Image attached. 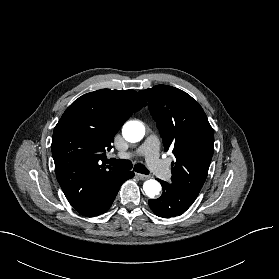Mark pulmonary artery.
<instances>
[{"instance_id":"e3ab8cb5","label":"pulmonary artery","mask_w":279,"mask_h":279,"mask_svg":"<svg viewBox=\"0 0 279 279\" xmlns=\"http://www.w3.org/2000/svg\"><path fill=\"white\" fill-rule=\"evenodd\" d=\"M134 155L144 156L151 170L160 178L167 179L170 176L168 167L159 158V140L156 136H149L135 153H125L122 156L129 158Z\"/></svg>"}]
</instances>
